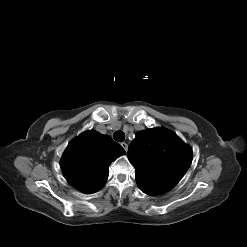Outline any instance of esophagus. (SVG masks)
<instances>
[{
	"label": "esophagus",
	"mask_w": 247,
	"mask_h": 247,
	"mask_svg": "<svg viewBox=\"0 0 247 247\" xmlns=\"http://www.w3.org/2000/svg\"><path fill=\"white\" fill-rule=\"evenodd\" d=\"M121 146L123 147V149H124L125 151L128 150V144H127V143L123 142V143H121Z\"/></svg>",
	"instance_id": "34e87169"
}]
</instances>
